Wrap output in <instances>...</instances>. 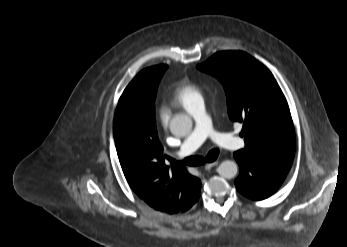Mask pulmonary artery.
<instances>
[{"mask_svg": "<svg viewBox=\"0 0 347 247\" xmlns=\"http://www.w3.org/2000/svg\"><path fill=\"white\" fill-rule=\"evenodd\" d=\"M188 112L195 120L193 131L185 138L178 155L188 156L196 151L210 137L221 148L236 150L244 146L243 139L228 133H217L212 130L211 121L206 113L203 99L197 100Z\"/></svg>", "mask_w": 347, "mask_h": 247, "instance_id": "e3ab8cb5", "label": "pulmonary artery"}]
</instances>
